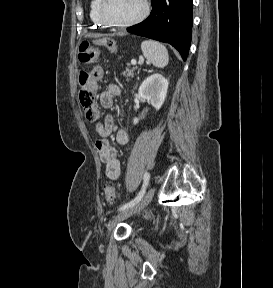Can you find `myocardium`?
<instances>
[{
  "mask_svg": "<svg viewBox=\"0 0 273 288\" xmlns=\"http://www.w3.org/2000/svg\"><path fill=\"white\" fill-rule=\"evenodd\" d=\"M142 2H143L142 12L138 16H136L135 18L128 20V21L115 22V21L110 20L106 16L105 11H104L106 0H99L98 15H99L101 21L109 27H114V28L131 27L133 25H136V24L142 22L149 14L150 6H149L148 0H142Z\"/></svg>",
  "mask_w": 273,
  "mask_h": 288,
  "instance_id": "1",
  "label": "myocardium"
}]
</instances>
